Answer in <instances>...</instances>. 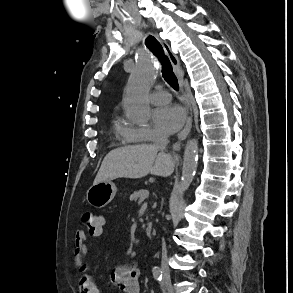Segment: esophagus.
Returning a JSON list of instances; mask_svg holds the SVG:
<instances>
[{"label":"esophagus","mask_w":293,"mask_h":293,"mask_svg":"<svg viewBox=\"0 0 293 293\" xmlns=\"http://www.w3.org/2000/svg\"><path fill=\"white\" fill-rule=\"evenodd\" d=\"M155 37L159 40V42L162 44L163 49L165 51V53L167 54L177 76H178V81H179V86L181 91L184 93V78H183V73L181 71V66H180V61L178 59V57L171 51L170 46L168 45V43L162 41L160 39V37L158 36V34H155ZM185 107H186V111H187V122L185 127L183 128V130L178 134V139L184 140L187 135L189 134L191 127H192V109H191V105L189 100L187 99L185 93Z\"/></svg>","instance_id":"esophagus-1"}]
</instances>
